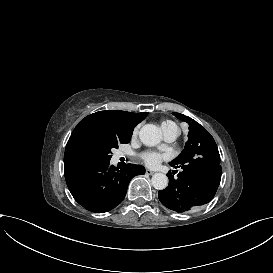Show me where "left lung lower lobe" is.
<instances>
[{
	"label": "left lung lower lobe",
	"instance_id": "left-lung-lower-lobe-1",
	"mask_svg": "<svg viewBox=\"0 0 273 273\" xmlns=\"http://www.w3.org/2000/svg\"><path fill=\"white\" fill-rule=\"evenodd\" d=\"M182 168L178 178L169 172V186L158 192L160 202L168 209L182 213L212 200L221 179L220 162L193 158L183 163H169Z\"/></svg>",
	"mask_w": 273,
	"mask_h": 273
}]
</instances>
